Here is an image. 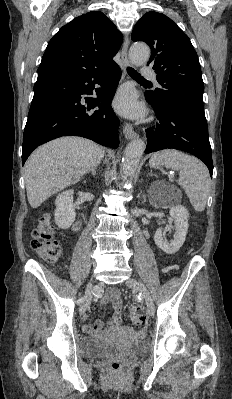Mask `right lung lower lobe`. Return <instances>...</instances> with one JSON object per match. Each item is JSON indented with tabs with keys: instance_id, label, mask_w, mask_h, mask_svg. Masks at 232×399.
<instances>
[{
	"instance_id": "right-lung-lower-lobe-1",
	"label": "right lung lower lobe",
	"mask_w": 232,
	"mask_h": 399,
	"mask_svg": "<svg viewBox=\"0 0 232 399\" xmlns=\"http://www.w3.org/2000/svg\"><path fill=\"white\" fill-rule=\"evenodd\" d=\"M120 77L116 63L83 72L38 74L24 129L22 164L39 145L61 136H82L116 149L119 119L111 102ZM95 84L100 87L95 89ZM93 94L97 98L82 97ZM96 106L99 109L92 110Z\"/></svg>"
}]
</instances>
